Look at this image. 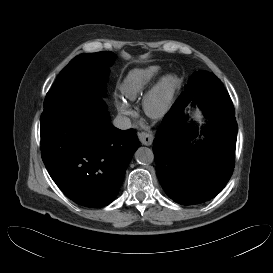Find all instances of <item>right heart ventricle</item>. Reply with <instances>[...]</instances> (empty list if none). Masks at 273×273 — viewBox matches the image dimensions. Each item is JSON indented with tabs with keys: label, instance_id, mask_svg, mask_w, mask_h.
I'll use <instances>...</instances> for the list:
<instances>
[{
	"label": "right heart ventricle",
	"instance_id": "1",
	"mask_svg": "<svg viewBox=\"0 0 273 273\" xmlns=\"http://www.w3.org/2000/svg\"><path fill=\"white\" fill-rule=\"evenodd\" d=\"M158 66H148L130 73L121 86L123 96L129 100L137 99L159 72Z\"/></svg>",
	"mask_w": 273,
	"mask_h": 273
}]
</instances>
